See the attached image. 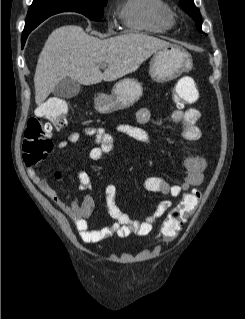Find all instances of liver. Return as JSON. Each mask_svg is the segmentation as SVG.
Listing matches in <instances>:
<instances>
[{
	"label": "liver",
	"mask_w": 245,
	"mask_h": 319,
	"mask_svg": "<svg viewBox=\"0 0 245 319\" xmlns=\"http://www.w3.org/2000/svg\"><path fill=\"white\" fill-rule=\"evenodd\" d=\"M169 43L142 33H127L101 40L82 27L55 29L39 55L35 76V101L42 104L55 86L69 77L83 85L110 82L136 71L156 51ZM107 69L102 73L99 67Z\"/></svg>",
	"instance_id": "6515ba94"
}]
</instances>
